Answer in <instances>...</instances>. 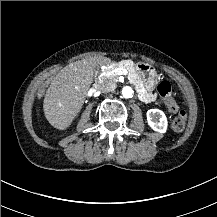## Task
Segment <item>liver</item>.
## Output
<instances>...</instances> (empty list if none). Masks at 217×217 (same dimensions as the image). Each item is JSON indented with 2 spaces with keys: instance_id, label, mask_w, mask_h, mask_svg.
Masks as SVG:
<instances>
[{
  "instance_id": "6515ba94",
  "label": "liver",
  "mask_w": 217,
  "mask_h": 217,
  "mask_svg": "<svg viewBox=\"0 0 217 217\" xmlns=\"http://www.w3.org/2000/svg\"><path fill=\"white\" fill-rule=\"evenodd\" d=\"M107 63H111L107 57L87 58L57 73L43 101L44 115L52 127L62 131L70 127L83 107L94 69Z\"/></svg>"
}]
</instances>
